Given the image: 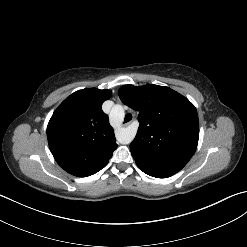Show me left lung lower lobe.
Listing matches in <instances>:
<instances>
[{
  "label": "left lung lower lobe",
  "instance_id": "1",
  "mask_svg": "<svg viewBox=\"0 0 247 247\" xmlns=\"http://www.w3.org/2000/svg\"><path fill=\"white\" fill-rule=\"evenodd\" d=\"M136 164L137 166L146 174L150 175V176H153V177H156V178H167V177H170L172 176V174H168V173H163V172H160L159 170H157L156 168L144 163V162H141L139 160H136Z\"/></svg>",
  "mask_w": 247,
  "mask_h": 247
}]
</instances>
